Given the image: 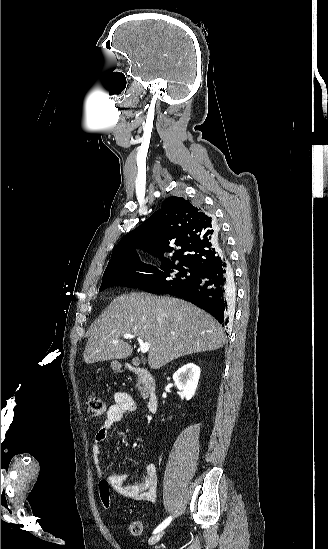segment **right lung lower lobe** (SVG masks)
Returning a JSON list of instances; mask_svg holds the SVG:
<instances>
[{
	"label": "right lung lower lobe",
	"mask_w": 328,
	"mask_h": 549,
	"mask_svg": "<svg viewBox=\"0 0 328 549\" xmlns=\"http://www.w3.org/2000/svg\"><path fill=\"white\" fill-rule=\"evenodd\" d=\"M234 292V277L226 256L196 270L181 286L162 292L188 300L213 315L222 326L228 323V293Z\"/></svg>",
	"instance_id": "1"
}]
</instances>
